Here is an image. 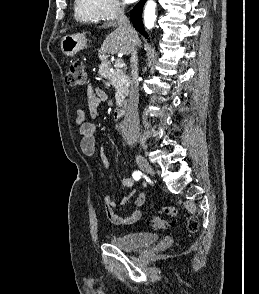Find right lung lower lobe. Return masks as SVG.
Returning <instances> with one entry per match:
<instances>
[{
	"label": "right lung lower lobe",
	"mask_w": 259,
	"mask_h": 294,
	"mask_svg": "<svg viewBox=\"0 0 259 294\" xmlns=\"http://www.w3.org/2000/svg\"><path fill=\"white\" fill-rule=\"evenodd\" d=\"M146 1V0H144ZM145 2L140 1L132 10H131V20L136 30L143 34L146 38L148 34L144 32V26L142 23V8Z\"/></svg>",
	"instance_id": "right-lung-lower-lobe-1"
}]
</instances>
